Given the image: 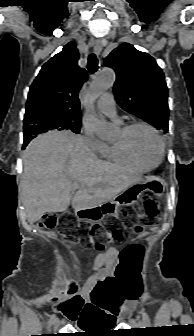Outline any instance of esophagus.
<instances>
[{"label": "esophagus", "instance_id": "esophagus-1", "mask_svg": "<svg viewBox=\"0 0 194 336\" xmlns=\"http://www.w3.org/2000/svg\"><path fill=\"white\" fill-rule=\"evenodd\" d=\"M104 40L103 39H97L95 41L94 45V51L97 55H100L102 48H103Z\"/></svg>", "mask_w": 194, "mask_h": 336}]
</instances>
